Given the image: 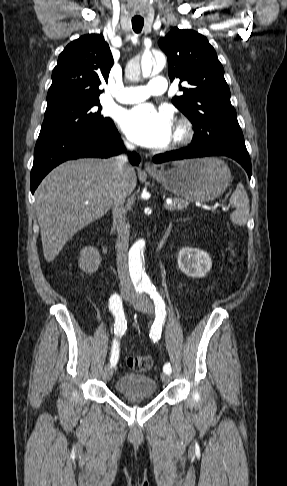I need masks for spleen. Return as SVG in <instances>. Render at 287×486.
<instances>
[{"label": "spleen", "instance_id": "spleen-1", "mask_svg": "<svg viewBox=\"0 0 287 486\" xmlns=\"http://www.w3.org/2000/svg\"><path fill=\"white\" fill-rule=\"evenodd\" d=\"M229 203L235 207V211L230 214L233 224L244 226L249 218V198L242 183H238L235 191L232 193Z\"/></svg>", "mask_w": 287, "mask_h": 486}]
</instances>
